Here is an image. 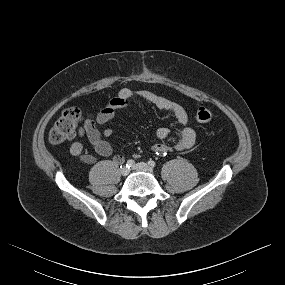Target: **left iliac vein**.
I'll use <instances>...</instances> for the list:
<instances>
[{
  "mask_svg": "<svg viewBox=\"0 0 285 285\" xmlns=\"http://www.w3.org/2000/svg\"><path fill=\"white\" fill-rule=\"evenodd\" d=\"M132 169L133 170L144 171V172H149V173L153 172V169L147 163H144V162H140V163L135 164L132 167Z\"/></svg>",
  "mask_w": 285,
  "mask_h": 285,
  "instance_id": "left-iliac-vein-1",
  "label": "left iliac vein"
}]
</instances>
